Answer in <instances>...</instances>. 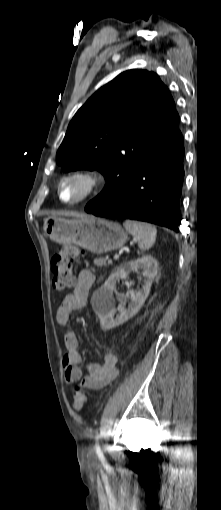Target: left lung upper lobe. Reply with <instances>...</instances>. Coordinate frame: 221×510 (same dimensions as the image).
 <instances>
[{
    "mask_svg": "<svg viewBox=\"0 0 221 510\" xmlns=\"http://www.w3.org/2000/svg\"><path fill=\"white\" fill-rule=\"evenodd\" d=\"M179 115L153 72L128 70L77 111L56 154L63 171L98 169L107 183L91 203L102 207L127 186L145 157L178 137Z\"/></svg>",
    "mask_w": 221,
    "mask_h": 510,
    "instance_id": "1",
    "label": "left lung upper lobe"
}]
</instances>
